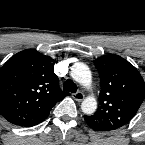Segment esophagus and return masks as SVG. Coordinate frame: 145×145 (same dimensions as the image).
<instances>
[{"mask_svg": "<svg viewBox=\"0 0 145 145\" xmlns=\"http://www.w3.org/2000/svg\"><path fill=\"white\" fill-rule=\"evenodd\" d=\"M84 94L80 91L76 92L73 94V98L76 100V101H82L84 99Z\"/></svg>", "mask_w": 145, "mask_h": 145, "instance_id": "esophagus-1", "label": "esophagus"}]
</instances>
